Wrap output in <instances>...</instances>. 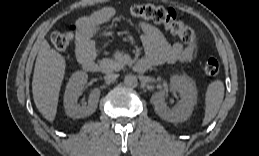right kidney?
<instances>
[{
	"label": "right kidney",
	"instance_id": "ca27d5eb",
	"mask_svg": "<svg viewBox=\"0 0 259 156\" xmlns=\"http://www.w3.org/2000/svg\"><path fill=\"white\" fill-rule=\"evenodd\" d=\"M88 75L83 71H77L72 74L66 86L64 94V107L66 114L71 118H83L93 114L97 108L100 90H91L88 103L80 105L78 97L84 85L87 83Z\"/></svg>",
	"mask_w": 259,
	"mask_h": 156
}]
</instances>
